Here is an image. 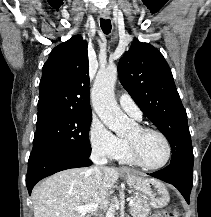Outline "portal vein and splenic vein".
Masks as SVG:
<instances>
[{"label":"portal vein and splenic vein","instance_id":"18ae733b","mask_svg":"<svg viewBox=\"0 0 211 217\" xmlns=\"http://www.w3.org/2000/svg\"><path fill=\"white\" fill-rule=\"evenodd\" d=\"M133 205H134V201L130 200L129 207H132ZM75 210L79 213L95 212L98 210V205H93V206L85 205V206L78 207Z\"/></svg>","mask_w":211,"mask_h":217}]
</instances>
